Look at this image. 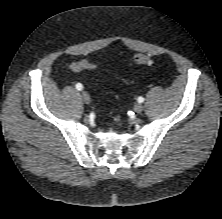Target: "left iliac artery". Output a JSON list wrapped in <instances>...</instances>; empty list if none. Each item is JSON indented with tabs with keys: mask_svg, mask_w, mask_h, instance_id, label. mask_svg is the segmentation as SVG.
Listing matches in <instances>:
<instances>
[{
	"mask_svg": "<svg viewBox=\"0 0 222 219\" xmlns=\"http://www.w3.org/2000/svg\"><path fill=\"white\" fill-rule=\"evenodd\" d=\"M138 102H139V103L144 102V98H143V97H139V98H138Z\"/></svg>",
	"mask_w": 222,
	"mask_h": 219,
	"instance_id": "obj_1",
	"label": "left iliac artery"
}]
</instances>
